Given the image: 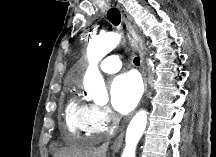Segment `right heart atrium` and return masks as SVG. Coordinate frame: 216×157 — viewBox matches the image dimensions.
Segmentation results:
<instances>
[{"instance_id": "1", "label": "right heart atrium", "mask_w": 216, "mask_h": 157, "mask_svg": "<svg viewBox=\"0 0 216 157\" xmlns=\"http://www.w3.org/2000/svg\"><path fill=\"white\" fill-rule=\"evenodd\" d=\"M113 121L114 116L109 108L91 104L85 117V131L92 135L106 134L110 131Z\"/></svg>"}]
</instances>
